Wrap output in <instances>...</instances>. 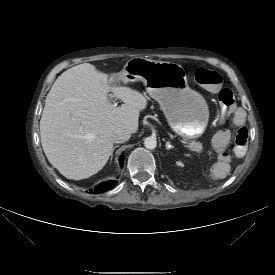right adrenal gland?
<instances>
[{
  "instance_id": "2a0ac1e0",
  "label": "right adrenal gland",
  "mask_w": 275,
  "mask_h": 275,
  "mask_svg": "<svg viewBox=\"0 0 275 275\" xmlns=\"http://www.w3.org/2000/svg\"><path fill=\"white\" fill-rule=\"evenodd\" d=\"M117 147H118L117 145L113 147L112 153H111V159H112V157H113V152H114V150H115Z\"/></svg>"
}]
</instances>
